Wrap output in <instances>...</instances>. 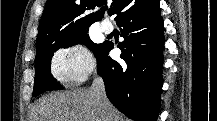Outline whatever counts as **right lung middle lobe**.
<instances>
[{
  "label": "right lung middle lobe",
  "mask_w": 217,
  "mask_h": 121,
  "mask_svg": "<svg viewBox=\"0 0 217 121\" xmlns=\"http://www.w3.org/2000/svg\"><path fill=\"white\" fill-rule=\"evenodd\" d=\"M89 28V27H88ZM88 28L74 32L62 39L55 40L52 42H45L36 45L37 53L35 57V80L33 96L39 95L43 92L49 90L63 89V87L57 83L56 79L50 73V64L53 52L57 49L63 47H69L75 44H84L90 50H92L96 56L99 57L104 43L95 44L91 41L89 35L87 34Z\"/></svg>",
  "instance_id": "right-lung-middle-lobe-1"
}]
</instances>
